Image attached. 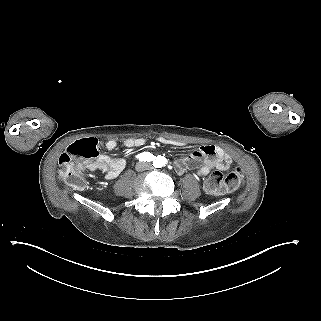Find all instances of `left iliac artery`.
<instances>
[{"label": "left iliac artery", "instance_id": "obj_1", "mask_svg": "<svg viewBox=\"0 0 321 321\" xmlns=\"http://www.w3.org/2000/svg\"><path fill=\"white\" fill-rule=\"evenodd\" d=\"M166 163L165 159L161 156H158V158L153 162L154 167H162Z\"/></svg>", "mask_w": 321, "mask_h": 321}]
</instances>
